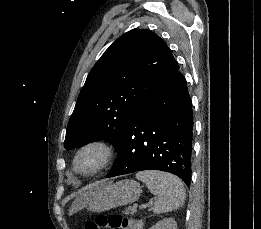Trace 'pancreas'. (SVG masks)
<instances>
[{"label": "pancreas", "instance_id": "pancreas-1", "mask_svg": "<svg viewBox=\"0 0 261 229\" xmlns=\"http://www.w3.org/2000/svg\"><path fill=\"white\" fill-rule=\"evenodd\" d=\"M128 213H129V209H126L125 215H128ZM135 213H136V209L134 207H132V211L130 213L131 217H132V215H135Z\"/></svg>", "mask_w": 261, "mask_h": 229}]
</instances>
